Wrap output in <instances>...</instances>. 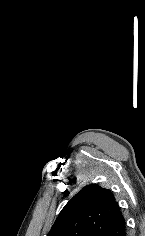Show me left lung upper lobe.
Returning <instances> with one entry per match:
<instances>
[{
    "instance_id": "obj_1",
    "label": "left lung upper lobe",
    "mask_w": 145,
    "mask_h": 236,
    "mask_svg": "<svg viewBox=\"0 0 145 236\" xmlns=\"http://www.w3.org/2000/svg\"><path fill=\"white\" fill-rule=\"evenodd\" d=\"M126 222L110 190L85 186L62 209L47 236H124Z\"/></svg>"
}]
</instances>
